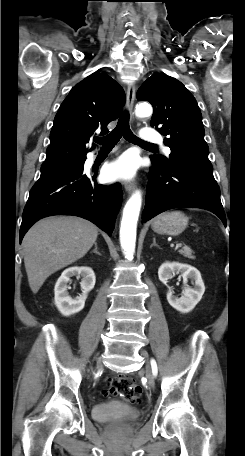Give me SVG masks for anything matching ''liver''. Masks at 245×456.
<instances>
[{
    "label": "liver",
    "instance_id": "1",
    "mask_svg": "<svg viewBox=\"0 0 245 456\" xmlns=\"http://www.w3.org/2000/svg\"><path fill=\"white\" fill-rule=\"evenodd\" d=\"M97 236L93 223L74 216L48 217L33 225L22 243L32 292L37 293L51 274L82 258Z\"/></svg>",
    "mask_w": 245,
    "mask_h": 456
}]
</instances>
